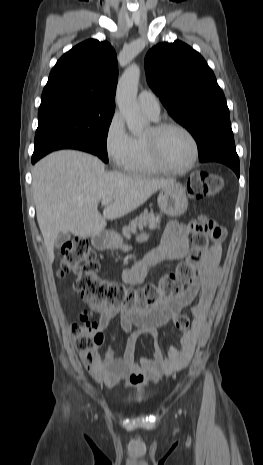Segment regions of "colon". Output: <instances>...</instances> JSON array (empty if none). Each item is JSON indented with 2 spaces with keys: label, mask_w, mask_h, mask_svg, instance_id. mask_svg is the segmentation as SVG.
<instances>
[{
  "label": "colon",
  "mask_w": 263,
  "mask_h": 465,
  "mask_svg": "<svg viewBox=\"0 0 263 465\" xmlns=\"http://www.w3.org/2000/svg\"><path fill=\"white\" fill-rule=\"evenodd\" d=\"M222 186V178L209 172L192 175L187 184L188 194L193 199L211 197L218 193ZM216 227L212 220L201 216L186 259L163 276L159 282L146 284L140 289L126 287L99 277L97 275L99 263L85 238L72 239L63 246L59 274L65 275L69 272L75 274L74 288L87 300L113 307L147 310L182 293L194 282L196 272L209 247L210 233ZM81 320V323L72 325L71 334L82 362L86 368L92 370L99 362V348L104 337L87 315L82 316ZM173 323L183 332L188 330L190 324L189 318L183 314L176 316Z\"/></svg>",
  "instance_id": "colon-1"
}]
</instances>
